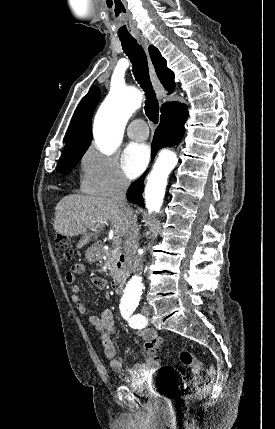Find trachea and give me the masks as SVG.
Listing matches in <instances>:
<instances>
[{
	"mask_svg": "<svg viewBox=\"0 0 275 429\" xmlns=\"http://www.w3.org/2000/svg\"><path fill=\"white\" fill-rule=\"evenodd\" d=\"M124 53L132 63V71L135 79L145 92V113L150 121L157 124L159 117V104L149 77L147 56L142 47L133 37H120Z\"/></svg>",
	"mask_w": 275,
	"mask_h": 429,
	"instance_id": "obj_1",
	"label": "trachea"
}]
</instances>
